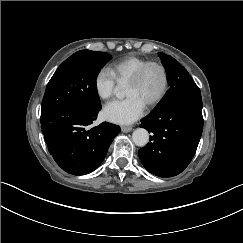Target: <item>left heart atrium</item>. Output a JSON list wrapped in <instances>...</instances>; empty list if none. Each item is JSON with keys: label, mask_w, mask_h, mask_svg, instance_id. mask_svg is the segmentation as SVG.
<instances>
[{"label": "left heart atrium", "mask_w": 243, "mask_h": 243, "mask_svg": "<svg viewBox=\"0 0 243 243\" xmlns=\"http://www.w3.org/2000/svg\"><path fill=\"white\" fill-rule=\"evenodd\" d=\"M146 104L136 95L106 103L102 109L103 117L112 123L128 124L144 113Z\"/></svg>", "instance_id": "obj_1"}]
</instances>
